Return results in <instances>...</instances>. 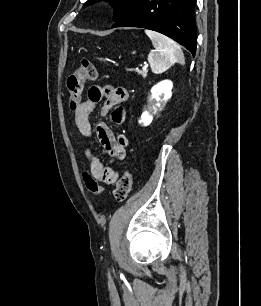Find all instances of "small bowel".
Here are the masks:
<instances>
[{"instance_id":"c3829d8e","label":"small bowel","mask_w":261,"mask_h":306,"mask_svg":"<svg viewBox=\"0 0 261 306\" xmlns=\"http://www.w3.org/2000/svg\"><path fill=\"white\" fill-rule=\"evenodd\" d=\"M127 97L128 92L122 87L111 85L92 86L88 91L87 99L80 102L74 109L75 124L81 136L87 141L91 140L90 114L102 99V114L105 115L112 111V122L116 125H121L125 120V112L121 104L126 101ZM95 131L99 142L110 154L113 162L125 158L129 146V140L126 135L118 134L115 136L104 123L97 124ZM84 156L89 166V172L84 173L85 185L92 194L102 195L104 189L100 184L114 183L118 178V171L111 166H103L96 152L90 147L84 148Z\"/></svg>"}]
</instances>
